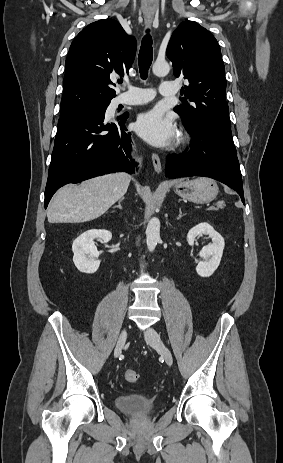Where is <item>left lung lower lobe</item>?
<instances>
[{"instance_id":"left-lung-lower-lobe-1","label":"left lung lower lobe","mask_w":283,"mask_h":463,"mask_svg":"<svg viewBox=\"0 0 283 463\" xmlns=\"http://www.w3.org/2000/svg\"><path fill=\"white\" fill-rule=\"evenodd\" d=\"M190 151L167 157L169 178L205 176L233 188L244 202L242 177L232 135L213 128H188Z\"/></svg>"}]
</instances>
